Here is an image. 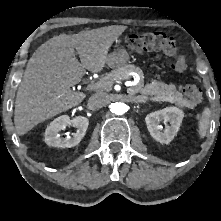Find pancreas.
I'll return each instance as SVG.
<instances>
[{
	"instance_id": "obj_1",
	"label": "pancreas",
	"mask_w": 221,
	"mask_h": 221,
	"mask_svg": "<svg viewBox=\"0 0 221 221\" xmlns=\"http://www.w3.org/2000/svg\"><path fill=\"white\" fill-rule=\"evenodd\" d=\"M130 72H135L140 76L139 83L131 89L133 93L140 92L142 94V96H140L141 98H147V96L150 95L175 103L182 108L190 106L189 101L183 97L182 93L176 90V87L173 84L167 85L163 82L153 81L150 84L144 85L142 70L132 64L117 68L102 78L101 81L104 83L102 90H110L115 81L131 78V76L128 75Z\"/></svg>"
}]
</instances>
